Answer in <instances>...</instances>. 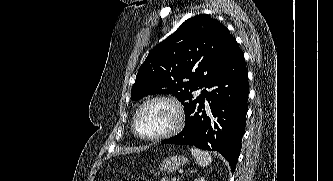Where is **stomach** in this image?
Here are the masks:
<instances>
[{"instance_id":"obj_1","label":"stomach","mask_w":333,"mask_h":181,"mask_svg":"<svg viewBox=\"0 0 333 181\" xmlns=\"http://www.w3.org/2000/svg\"><path fill=\"white\" fill-rule=\"evenodd\" d=\"M187 163L188 159L184 156H170L162 160V162L158 166V169L161 172H172Z\"/></svg>"}]
</instances>
